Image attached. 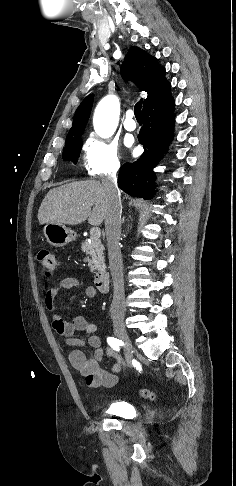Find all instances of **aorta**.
Masks as SVG:
<instances>
[{
	"instance_id": "762f6f07",
	"label": "aorta",
	"mask_w": 236,
	"mask_h": 486,
	"mask_svg": "<svg viewBox=\"0 0 236 486\" xmlns=\"http://www.w3.org/2000/svg\"><path fill=\"white\" fill-rule=\"evenodd\" d=\"M119 119V103L115 96H107L96 107L93 119L95 132L103 137H110Z\"/></svg>"
}]
</instances>
